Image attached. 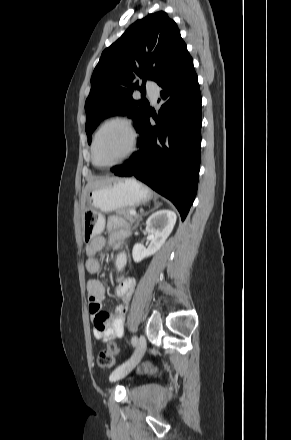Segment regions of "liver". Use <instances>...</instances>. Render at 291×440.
<instances>
[{
    "instance_id": "1",
    "label": "liver",
    "mask_w": 291,
    "mask_h": 440,
    "mask_svg": "<svg viewBox=\"0 0 291 440\" xmlns=\"http://www.w3.org/2000/svg\"><path fill=\"white\" fill-rule=\"evenodd\" d=\"M117 178H103L94 182L89 183L85 190L83 191V195H82V206L84 207L85 205V198H86V194L90 189L96 188V187H100L103 185H106L114 180H116Z\"/></svg>"
}]
</instances>
